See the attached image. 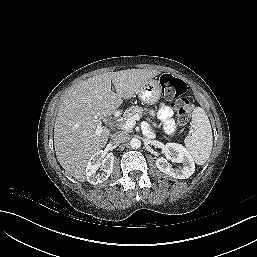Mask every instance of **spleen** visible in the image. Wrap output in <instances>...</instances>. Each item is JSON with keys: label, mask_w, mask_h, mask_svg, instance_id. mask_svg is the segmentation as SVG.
Wrapping results in <instances>:
<instances>
[{"label": "spleen", "mask_w": 257, "mask_h": 257, "mask_svg": "<svg viewBox=\"0 0 257 257\" xmlns=\"http://www.w3.org/2000/svg\"><path fill=\"white\" fill-rule=\"evenodd\" d=\"M191 126L192 134L185 138L184 143L195 163L202 165L211 154L213 135L208 116L201 107L193 110Z\"/></svg>", "instance_id": "1"}]
</instances>
